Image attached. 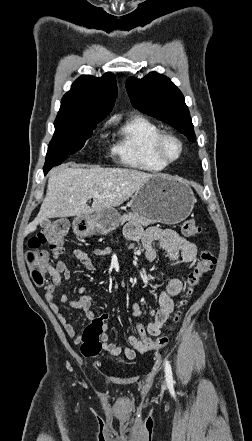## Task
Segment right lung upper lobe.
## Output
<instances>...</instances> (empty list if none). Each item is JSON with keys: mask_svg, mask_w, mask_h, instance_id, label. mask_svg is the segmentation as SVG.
<instances>
[{"mask_svg": "<svg viewBox=\"0 0 252 441\" xmlns=\"http://www.w3.org/2000/svg\"><path fill=\"white\" fill-rule=\"evenodd\" d=\"M117 96L115 76H80L61 101L58 116L87 120H103L111 111Z\"/></svg>", "mask_w": 252, "mask_h": 441, "instance_id": "right-lung-upper-lobe-1", "label": "right lung upper lobe"}]
</instances>
